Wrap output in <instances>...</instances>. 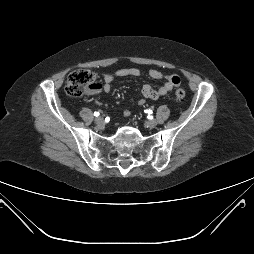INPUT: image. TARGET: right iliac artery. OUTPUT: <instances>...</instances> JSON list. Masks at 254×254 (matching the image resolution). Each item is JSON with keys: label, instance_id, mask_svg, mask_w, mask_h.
<instances>
[{"label": "right iliac artery", "instance_id": "obj_1", "mask_svg": "<svg viewBox=\"0 0 254 254\" xmlns=\"http://www.w3.org/2000/svg\"><path fill=\"white\" fill-rule=\"evenodd\" d=\"M100 115V113L99 112H94V116H99Z\"/></svg>", "mask_w": 254, "mask_h": 254}]
</instances>
